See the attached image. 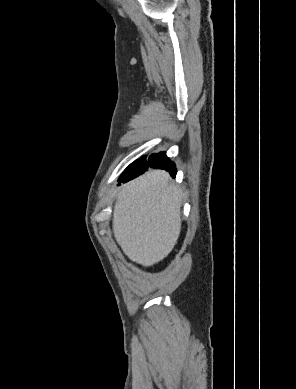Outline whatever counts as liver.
Listing matches in <instances>:
<instances>
[{
  "label": "liver",
  "mask_w": 296,
  "mask_h": 389,
  "mask_svg": "<svg viewBox=\"0 0 296 389\" xmlns=\"http://www.w3.org/2000/svg\"><path fill=\"white\" fill-rule=\"evenodd\" d=\"M182 191L166 171H149L125 184L113 212V233L125 255L148 267L163 260L181 230Z\"/></svg>",
  "instance_id": "6515ba94"
}]
</instances>
